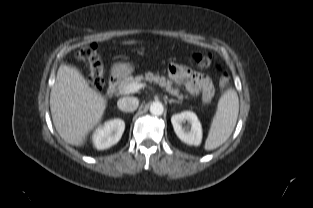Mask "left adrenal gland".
Here are the masks:
<instances>
[{
  "mask_svg": "<svg viewBox=\"0 0 313 208\" xmlns=\"http://www.w3.org/2000/svg\"><path fill=\"white\" fill-rule=\"evenodd\" d=\"M169 104H172V103H180L179 101L177 100H174V99H170L168 100Z\"/></svg>",
  "mask_w": 313,
  "mask_h": 208,
  "instance_id": "obj_1",
  "label": "left adrenal gland"
}]
</instances>
